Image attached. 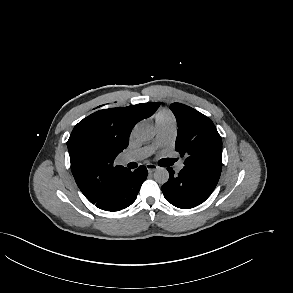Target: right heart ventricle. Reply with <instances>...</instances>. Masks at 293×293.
<instances>
[{
  "label": "right heart ventricle",
  "instance_id": "e07e8e85",
  "mask_svg": "<svg viewBox=\"0 0 293 293\" xmlns=\"http://www.w3.org/2000/svg\"><path fill=\"white\" fill-rule=\"evenodd\" d=\"M175 123V118L169 110H160L155 115L156 126H170L175 125Z\"/></svg>",
  "mask_w": 293,
  "mask_h": 293
}]
</instances>
